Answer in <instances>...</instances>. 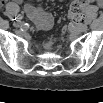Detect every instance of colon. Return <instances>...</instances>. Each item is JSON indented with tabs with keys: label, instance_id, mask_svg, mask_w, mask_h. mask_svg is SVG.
I'll use <instances>...</instances> for the list:
<instances>
[{
	"label": "colon",
	"instance_id": "5ec220e1",
	"mask_svg": "<svg viewBox=\"0 0 103 103\" xmlns=\"http://www.w3.org/2000/svg\"><path fill=\"white\" fill-rule=\"evenodd\" d=\"M86 5V2L83 0H75L72 2L69 10V16L74 22H80L82 20ZM52 46V41H48L45 44V48L47 50L51 49Z\"/></svg>",
	"mask_w": 103,
	"mask_h": 103
}]
</instances>
